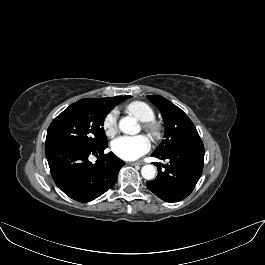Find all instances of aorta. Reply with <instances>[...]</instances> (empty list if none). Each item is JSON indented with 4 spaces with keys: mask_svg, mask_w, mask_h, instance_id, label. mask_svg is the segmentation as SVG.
Masks as SVG:
<instances>
[{
    "mask_svg": "<svg viewBox=\"0 0 265 265\" xmlns=\"http://www.w3.org/2000/svg\"><path fill=\"white\" fill-rule=\"evenodd\" d=\"M119 129L125 134H137L140 132V125L136 119L132 117H124L119 121ZM141 175L146 180L154 179L156 175V168L153 165H145L141 169Z\"/></svg>",
    "mask_w": 265,
    "mask_h": 265,
    "instance_id": "762f6f07",
    "label": "aorta"
}]
</instances>
